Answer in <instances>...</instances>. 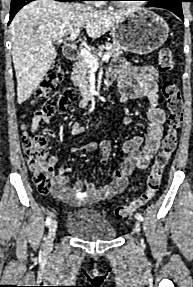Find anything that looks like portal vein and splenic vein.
I'll return each instance as SVG.
<instances>
[{
    "instance_id": "1",
    "label": "portal vein and splenic vein",
    "mask_w": 193,
    "mask_h": 287,
    "mask_svg": "<svg viewBox=\"0 0 193 287\" xmlns=\"http://www.w3.org/2000/svg\"><path fill=\"white\" fill-rule=\"evenodd\" d=\"M80 33V29H76L75 31H73L70 35V41H74L77 36ZM80 55L83 57L84 61L86 62V64L91 68V69H97L99 67V63L98 60L96 58L93 57V55L86 50L85 48H80ZM110 58V53L106 52L103 57H102V61H108Z\"/></svg>"
}]
</instances>
